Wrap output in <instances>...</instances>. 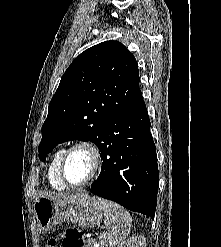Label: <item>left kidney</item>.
Wrapping results in <instances>:
<instances>
[{
	"label": "left kidney",
	"instance_id": "1",
	"mask_svg": "<svg viewBox=\"0 0 221 247\" xmlns=\"http://www.w3.org/2000/svg\"><path fill=\"white\" fill-rule=\"evenodd\" d=\"M118 247H146V241L144 236H135L122 242Z\"/></svg>",
	"mask_w": 221,
	"mask_h": 247
}]
</instances>
